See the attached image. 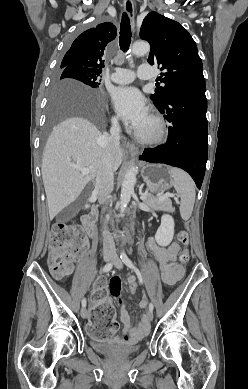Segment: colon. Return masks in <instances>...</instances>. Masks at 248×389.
<instances>
[{
    "mask_svg": "<svg viewBox=\"0 0 248 389\" xmlns=\"http://www.w3.org/2000/svg\"><path fill=\"white\" fill-rule=\"evenodd\" d=\"M179 242L184 246L179 254L181 264L185 265L189 261V251L187 245L189 235L186 231L178 234ZM84 249V238L81 231L76 227L64 224H55L49 237L48 266L50 272L57 279L64 278L71 270L72 259L79 261ZM109 284L106 274L102 278H96L92 283L94 296L91 297L93 305V319L89 326L85 327V332L90 333L95 338L96 344H107L108 340H113L114 335L111 330L118 328L115 320V310L110 304L111 298L107 296L105 285ZM128 288L131 294L139 290L137 281H130Z\"/></svg>",
    "mask_w": 248,
    "mask_h": 389,
    "instance_id": "obj_1",
    "label": "colon"
}]
</instances>
